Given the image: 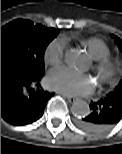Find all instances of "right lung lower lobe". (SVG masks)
Here are the masks:
<instances>
[{"mask_svg": "<svg viewBox=\"0 0 122 154\" xmlns=\"http://www.w3.org/2000/svg\"><path fill=\"white\" fill-rule=\"evenodd\" d=\"M22 63L1 59V117L12 125L35 122L44 113L51 94L40 86Z\"/></svg>", "mask_w": 122, "mask_h": 154, "instance_id": "98d812e1", "label": "right lung lower lobe"}]
</instances>
